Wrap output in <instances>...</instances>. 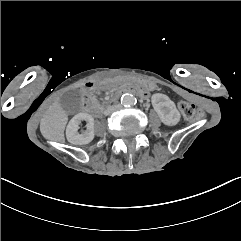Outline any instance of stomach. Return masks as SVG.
I'll return each instance as SVG.
<instances>
[{"label":"stomach","instance_id":"stomach-1","mask_svg":"<svg viewBox=\"0 0 241 241\" xmlns=\"http://www.w3.org/2000/svg\"><path fill=\"white\" fill-rule=\"evenodd\" d=\"M111 82L114 85H140L149 90L156 88V83L153 80L137 77L133 75H127L124 73H117L111 78Z\"/></svg>","mask_w":241,"mask_h":241}]
</instances>
